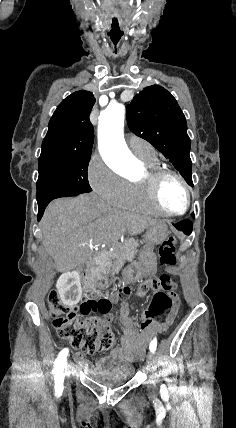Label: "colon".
<instances>
[{
    "label": "colon",
    "mask_w": 236,
    "mask_h": 428,
    "mask_svg": "<svg viewBox=\"0 0 236 428\" xmlns=\"http://www.w3.org/2000/svg\"><path fill=\"white\" fill-rule=\"evenodd\" d=\"M176 239L167 238L159 249L160 262L165 266H175ZM175 282L168 275H160L143 282L139 287L141 295L149 290L155 291L148 310L144 312L142 326L150 324L160 315H167L172 320L178 311L179 301L174 294ZM130 294L128 287L122 288L120 296ZM48 305L53 327L62 339L82 352L92 354L101 350H109L114 345V337L109 329V321L91 320L94 315H105L111 308V302L94 292L86 290V294L78 307L66 306L61 303L56 291L48 295Z\"/></svg>",
    "instance_id": "5ec220e1"
}]
</instances>
